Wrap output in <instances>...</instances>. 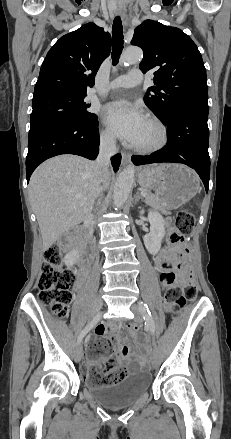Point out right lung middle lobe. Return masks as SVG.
<instances>
[{
	"instance_id": "right-lung-middle-lobe-1",
	"label": "right lung middle lobe",
	"mask_w": 231,
	"mask_h": 439,
	"mask_svg": "<svg viewBox=\"0 0 231 439\" xmlns=\"http://www.w3.org/2000/svg\"><path fill=\"white\" fill-rule=\"evenodd\" d=\"M85 97L86 95L79 94L51 93L34 98L32 102L33 111L30 117V129L64 118L87 121L97 119L94 113L87 110L90 104L85 102Z\"/></svg>"
}]
</instances>
